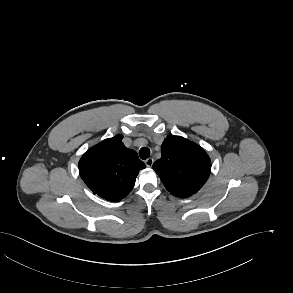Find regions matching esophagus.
Here are the masks:
<instances>
[{
  "mask_svg": "<svg viewBox=\"0 0 293 293\" xmlns=\"http://www.w3.org/2000/svg\"><path fill=\"white\" fill-rule=\"evenodd\" d=\"M153 163H154L153 158H148V159L145 160V164H146L147 167H152Z\"/></svg>",
  "mask_w": 293,
  "mask_h": 293,
  "instance_id": "obj_1",
  "label": "esophagus"
}]
</instances>
